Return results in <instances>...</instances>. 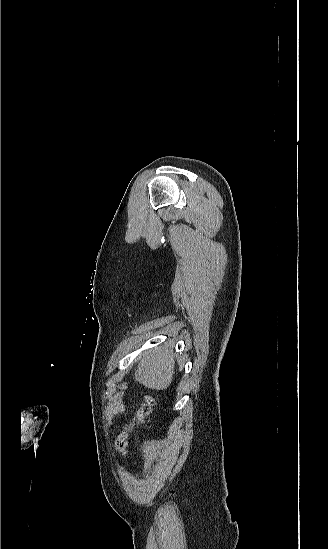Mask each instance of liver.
Wrapping results in <instances>:
<instances>
[{"mask_svg": "<svg viewBox=\"0 0 328 549\" xmlns=\"http://www.w3.org/2000/svg\"><path fill=\"white\" fill-rule=\"evenodd\" d=\"M144 361H141L137 371H135L134 379L147 387V389H156V391H164L168 389L173 381L175 361L169 349H161L156 347L150 353H144Z\"/></svg>", "mask_w": 328, "mask_h": 549, "instance_id": "liver-1", "label": "liver"}]
</instances>
